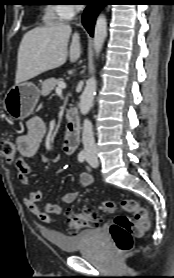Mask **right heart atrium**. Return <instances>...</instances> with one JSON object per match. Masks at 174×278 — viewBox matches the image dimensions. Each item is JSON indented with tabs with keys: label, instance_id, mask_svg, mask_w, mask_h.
<instances>
[{
	"label": "right heart atrium",
	"instance_id": "obj_1",
	"mask_svg": "<svg viewBox=\"0 0 174 278\" xmlns=\"http://www.w3.org/2000/svg\"><path fill=\"white\" fill-rule=\"evenodd\" d=\"M78 8L79 5L77 4H63L59 6V14L62 19L68 20L74 16Z\"/></svg>",
	"mask_w": 174,
	"mask_h": 278
}]
</instances>
